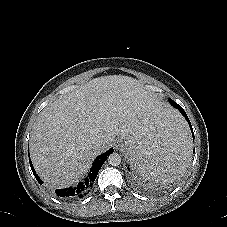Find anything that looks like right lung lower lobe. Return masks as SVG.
I'll list each match as a JSON object with an SVG mask.
<instances>
[{"instance_id": "obj_1", "label": "right lung lower lobe", "mask_w": 227, "mask_h": 227, "mask_svg": "<svg viewBox=\"0 0 227 227\" xmlns=\"http://www.w3.org/2000/svg\"><path fill=\"white\" fill-rule=\"evenodd\" d=\"M111 153H113V149H109L105 153L98 156L95 159L93 166L90 169L88 175L85 177V179L82 182H79V184L76 187H69V188H65V189H56L55 193L57 194V196L61 197L63 199H66V200H71V199L81 198L84 195H86V193L92 187L93 182L95 181V178H96L100 168L102 167V165L106 161L107 157ZM29 162H30V166H31L34 176L36 177L39 184H42L43 182L36 174L30 159H29Z\"/></svg>"}]
</instances>
